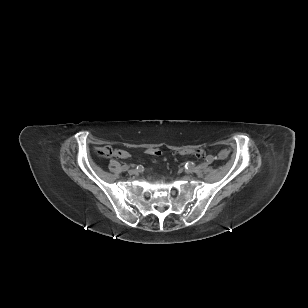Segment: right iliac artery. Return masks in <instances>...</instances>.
Here are the masks:
<instances>
[{
	"instance_id": "obj_1",
	"label": "right iliac artery",
	"mask_w": 308,
	"mask_h": 308,
	"mask_svg": "<svg viewBox=\"0 0 308 308\" xmlns=\"http://www.w3.org/2000/svg\"><path fill=\"white\" fill-rule=\"evenodd\" d=\"M123 171H127L129 169V166L124 164L121 168Z\"/></svg>"
}]
</instances>
